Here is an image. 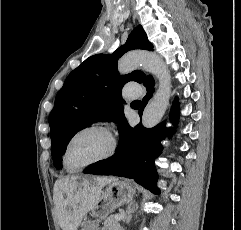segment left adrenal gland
Returning a JSON list of instances; mask_svg holds the SVG:
<instances>
[{"instance_id": "left-adrenal-gland-1", "label": "left adrenal gland", "mask_w": 241, "mask_h": 230, "mask_svg": "<svg viewBox=\"0 0 241 230\" xmlns=\"http://www.w3.org/2000/svg\"><path fill=\"white\" fill-rule=\"evenodd\" d=\"M133 206V202H131L128 206H127V209H126V217H125V221L127 223L130 222L131 220V217H132V213H134V209L132 208Z\"/></svg>"}]
</instances>
